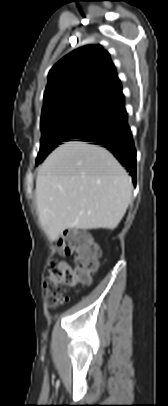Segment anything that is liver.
Masks as SVG:
<instances>
[{
	"mask_svg": "<svg viewBox=\"0 0 168 406\" xmlns=\"http://www.w3.org/2000/svg\"><path fill=\"white\" fill-rule=\"evenodd\" d=\"M132 197L131 178L105 148L68 141L38 169L36 203L53 239L66 229H114Z\"/></svg>",
	"mask_w": 168,
	"mask_h": 406,
	"instance_id": "obj_1",
	"label": "liver"
}]
</instances>
